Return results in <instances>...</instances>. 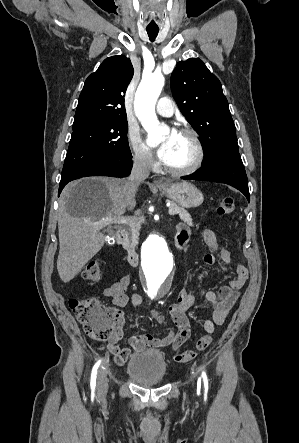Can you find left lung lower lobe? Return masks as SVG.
Returning a JSON list of instances; mask_svg holds the SVG:
<instances>
[{"mask_svg": "<svg viewBox=\"0 0 299 443\" xmlns=\"http://www.w3.org/2000/svg\"><path fill=\"white\" fill-rule=\"evenodd\" d=\"M185 180H204L229 184L240 190L250 201L248 179L243 163L218 161L202 166L191 175L183 176Z\"/></svg>", "mask_w": 299, "mask_h": 443, "instance_id": "1", "label": "left lung lower lobe"}]
</instances>
